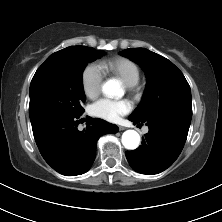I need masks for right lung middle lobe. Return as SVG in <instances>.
I'll use <instances>...</instances> for the list:
<instances>
[{
	"label": "right lung middle lobe",
	"mask_w": 222,
	"mask_h": 222,
	"mask_svg": "<svg viewBox=\"0 0 222 222\" xmlns=\"http://www.w3.org/2000/svg\"><path fill=\"white\" fill-rule=\"evenodd\" d=\"M103 54L86 46H70L50 55L30 84L31 122L50 114L81 115V103L85 101L83 70Z\"/></svg>",
	"instance_id": "right-lung-middle-lobe-1"
}]
</instances>
